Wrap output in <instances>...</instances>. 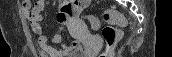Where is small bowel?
I'll return each instance as SVG.
<instances>
[{
	"label": "small bowel",
	"mask_w": 172,
	"mask_h": 57,
	"mask_svg": "<svg viewBox=\"0 0 172 57\" xmlns=\"http://www.w3.org/2000/svg\"><path fill=\"white\" fill-rule=\"evenodd\" d=\"M88 3V0L62 2L61 7L56 15L57 22L60 25L59 32L53 35L50 42L40 24L43 19L42 11L45 7L44 0H37L35 2L26 0L23 2V9L25 11L26 19L30 25L32 32L37 38V42L42 55L46 57H66L69 53L77 51L81 47L78 40H72L68 44H63V36L61 30L67 23H71L75 19L74 15L70 13V11H72L71 7L87 5ZM52 43L59 44L60 48L56 49L52 45Z\"/></svg>",
	"instance_id": "1"
}]
</instances>
